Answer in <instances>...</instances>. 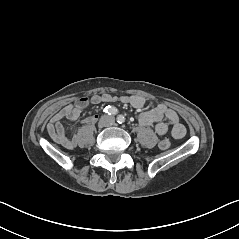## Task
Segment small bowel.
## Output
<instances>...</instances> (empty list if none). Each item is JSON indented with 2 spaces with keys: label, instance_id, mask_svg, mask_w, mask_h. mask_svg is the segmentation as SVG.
<instances>
[{
  "label": "small bowel",
  "instance_id": "1",
  "mask_svg": "<svg viewBox=\"0 0 239 239\" xmlns=\"http://www.w3.org/2000/svg\"><path fill=\"white\" fill-rule=\"evenodd\" d=\"M115 102L129 104L134 108H142L145 105L146 100L139 95L117 96L109 93L94 95L90 99H86L84 103H73L60 110L49 122L47 126L48 134L56 143L65 148L72 149L76 146V135L73 133L72 136L69 137L62 121L64 119L70 122L77 120L86 104ZM164 119L166 122H163ZM137 120L142 126L155 124V131L159 135H165L171 131L174 138L181 139L186 134V129L180 122L178 114L173 109L162 103L156 105L151 110L139 113ZM91 122H93V118L91 117L85 120V123L87 124Z\"/></svg>",
  "mask_w": 239,
  "mask_h": 239
}]
</instances>
